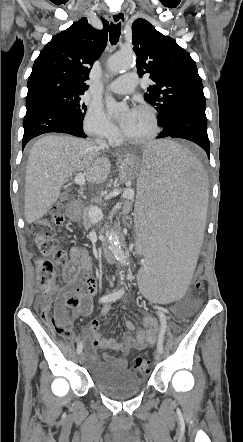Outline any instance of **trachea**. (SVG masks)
Masks as SVG:
<instances>
[{
    "label": "trachea",
    "instance_id": "trachea-1",
    "mask_svg": "<svg viewBox=\"0 0 243 442\" xmlns=\"http://www.w3.org/2000/svg\"><path fill=\"white\" fill-rule=\"evenodd\" d=\"M120 23L110 25V42L112 45H115L119 41L120 37Z\"/></svg>",
    "mask_w": 243,
    "mask_h": 442
}]
</instances>
